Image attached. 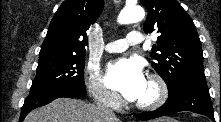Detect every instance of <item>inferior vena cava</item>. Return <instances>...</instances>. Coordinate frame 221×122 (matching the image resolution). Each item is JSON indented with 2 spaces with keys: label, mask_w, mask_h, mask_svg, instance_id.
<instances>
[{
  "label": "inferior vena cava",
  "mask_w": 221,
  "mask_h": 122,
  "mask_svg": "<svg viewBox=\"0 0 221 122\" xmlns=\"http://www.w3.org/2000/svg\"><path fill=\"white\" fill-rule=\"evenodd\" d=\"M97 106L99 108V110L108 118H115V114L114 112L107 108L106 106L102 105L101 102H97Z\"/></svg>",
  "instance_id": "inferior-vena-cava-1"
}]
</instances>
